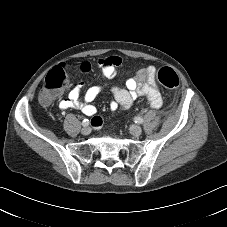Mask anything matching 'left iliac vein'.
Here are the masks:
<instances>
[{
	"mask_svg": "<svg viewBox=\"0 0 227 227\" xmlns=\"http://www.w3.org/2000/svg\"><path fill=\"white\" fill-rule=\"evenodd\" d=\"M129 131L132 135L139 136L142 133V128L138 125H131Z\"/></svg>",
	"mask_w": 227,
	"mask_h": 227,
	"instance_id": "left-iliac-vein-1",
	"label": "left iliac vein"
}]
</instances>
